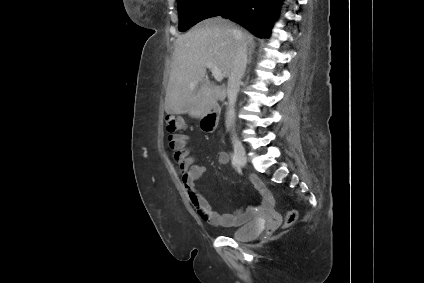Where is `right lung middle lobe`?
Returning a JSON list of instances; mask_svg holds the SVG:
<instances>
[{
    "label": "right lung middle lobe",
    "mask_w": 424,
    "mask_h": 283,
    "mask_svg": "<svg viewBox=\"0 0 424 283\" xmlns=\"http://www.w3.org/2000/svg\"><path fill=\"white\" fill-rule=\"evenodd\" d=\"M235 0H177L179 30L186 31L196 23L227 11Z\"/></svg>",
    "instance_id": "right-lung-middle-lobe-1"
}]
</instances>
